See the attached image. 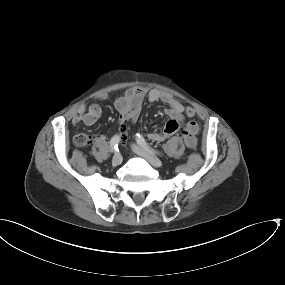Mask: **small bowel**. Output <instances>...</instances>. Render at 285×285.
<instances>
[{"mask_svg":"<svg viewBox=\"0 0 285 285\" xmlns=\"http://www.w3.org/2000/svg\"><path fill=\"white\" fill-rule=\"evenodd\" d=\"M107 94H103L102 98H107ZM147 97L151 103L163 102L167 105L165 110L168 121L162 132H150L148 138L154 142H162L166 138L175 135L177 132L183 133L184 143L188 148H194L197 144L196 133L198 124L190 121L182 124L185 114L184 105L170 94L164 93L158 89L147 91L143 87L128 88L125 93L115 101V108L119 114V135L122 138L127 131V122L136 121L141 113L142 103ZM102 115V108L98 104L89 106L81 105L72 114L73 123H84L86 125L95 124ZM89 136V135H88ZM90 142L98 139L96 136H89Z\"/></svg>","mask_w":285,"mask_h":285,"instance_id":"small-bowel-1","label":"small bowel"}]
</instances>
